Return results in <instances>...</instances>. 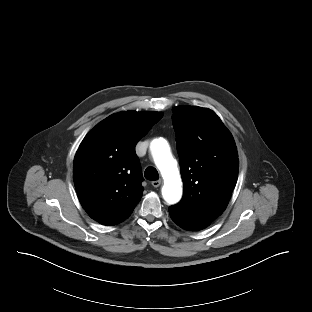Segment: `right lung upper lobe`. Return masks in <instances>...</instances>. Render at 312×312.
I'll list each match as a JSON object with an SVG mask.
<instances>
[{"label":"right lung upper lobe","mask_w":312,"mask_h":312,"mask_svg":"<svg viewBox=\"0 0 312 312\" xmlns=\"http://www.w3.org/2000/svg\"><path fill=\"white\" fill-rule=\"evenodd\" d=\"M162 116L161 112H119L83 139L74 158V184L81 205L97 222L119 224L140 201L143 177L135 146Z\"/></svg>","instance_id":"cb5924a9"}]
</instances>
